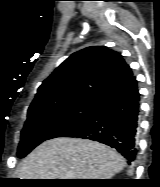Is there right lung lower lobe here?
<instances>
[{"instance_id":"1","label":"right lung lower lobe","mask_w":160,"mask_h":187,"mask_svg":"<svg viewBox=\"0 0 160 187\" xmlns=\"http://www.w3.org/2000/svg\"><path fill=\"white\" fill-rule=\"evenodd\" d=\"M139 112L140 94L132 75L101 97L90 114L59 137L90 139L109 145L132 165L137 155Z\"/></svg>"}]
</instances>
